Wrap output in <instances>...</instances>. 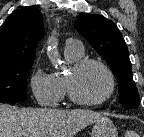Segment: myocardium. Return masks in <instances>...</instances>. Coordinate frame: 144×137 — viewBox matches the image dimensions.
<instances>
[{
    "label": "myocardium",
    "mask_w": 144,
    "mask_h": 137,
    "mask_svg": "<svg viewBox=\"0 0 144 137\" xmlns=\"http://www.w3.org/2000/svg\"><path fill=\"white\" fill-rule=\"evenodd\" d=\"M90 64H94V65L101 67L106 73L108 80H109V89L106 95L96 101H86V100L79 98L76 95L74 87H73L74 74L81 71L83 68H85L87 65H90ZM64 79H65L66 92L70 101L76 105L83 106V107H96V106H100L106 103L113 96L115 92V88H116V81H115V77H114L112 70L109 68V66L105 62L99 59H95V58H82L74 62L69 72L64 77Z\"/></svg>",
    "instance_id": "1"
}]
</instances>
